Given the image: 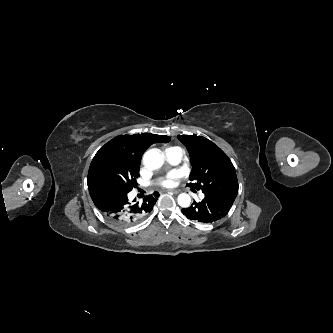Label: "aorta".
Returning a JSON list of instances; mask_svg holds the SVG:
<instances>
[{
    "label": "aorta",
    "mask_w": 333,
    "mask_h": 333,
    "mask_svg": "<svg viewBox=\"0 0 333 333\" xmlns=\"http://www.w3.org/2000/svg\"><path fill=\"white\" fill-rule=\"evenodd\" d=\"M143 162L150 168L158 169L163 165L164 160L162 155L156 149H151L144 154ZM190 202L191 199L188 194L182 193L178 196V204L181 207H188Z\"/></svg>",
    "instance_id": "aorta-1"
}]
</instances>
